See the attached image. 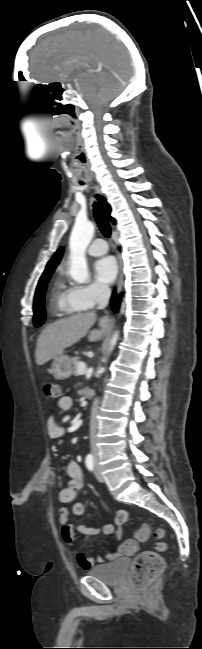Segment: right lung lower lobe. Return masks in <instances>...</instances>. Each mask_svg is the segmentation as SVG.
<instances>
[{"label":"right lung lower lobe","instance_id":"right-lung-lower-lobe-1","mask_svg":"<svg viewBox=\"0 0 202 649\" xmlns=\"http://www.w3.org/2000/svg\"><path fill=\"white\" fill-rule=\"evenodd\" d=\"M121 296H122V294H120V295L118 296V295H116L115 292H114L113 295H112V298H111V301H110V302H111V306H112V308H113V310H114L115 312L118 311L119 304H120V300H121Z\"/></svg>","mask_w":202,"mask_h":649}]
</instances>
